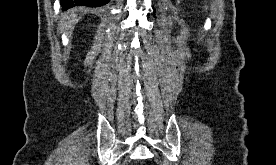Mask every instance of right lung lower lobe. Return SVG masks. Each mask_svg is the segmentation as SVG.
<instances>
[{
  "mask_svg": "<svg viewBox=\"0 0 276 165\" xmlns=\"http://www.w3.org/2000/svg\"><path fill=\"white\" fill-rule=\"evenodd\" d=\"M63 10L74 6H88V7H99L107 4L110 0H60Z\"/></svg>",
  "mask_w": 276,
  "mask_h": 165,
  "instance_id": "98d812e1",
  "label": "right lung lower lobe"
}]
</instances>
